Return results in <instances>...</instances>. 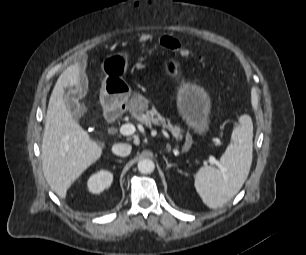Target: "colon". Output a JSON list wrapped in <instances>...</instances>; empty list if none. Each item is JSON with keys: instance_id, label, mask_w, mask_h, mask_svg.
<instances>
[{"instance_id": "obj_1", "label": "colon", "mask_w": 306, "mask_h": 255, "mask_svg": "<svg viewBox=\"0 0 306 255\" xmlns=\"http://www.w3.org/2000/svg\"><path fill=\"white\" fill-rule=\"evenodd\" d=\"M148 40H150V36L148 34L140 37V42L142 43L147 42ZM160 44L165 48L177 51L184 56H192L200 63H203L205 61V57L203 55H196L191 53L188 49H186L182 45V43H180L177 39H174L172 37L162 36L160 38Z\"/></svg>"}]
</instances>
